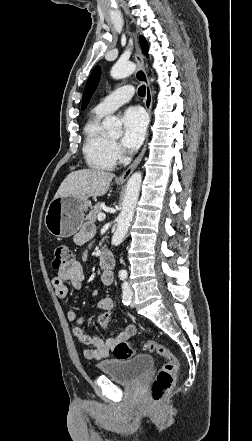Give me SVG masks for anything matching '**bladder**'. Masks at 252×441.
Wrapping results in <instances>:
<instances>
[{"label": "bladder", "instance_id": "bladder-1", "mask_svg": "<svg viewBox=\"0 0 252 441\" xmlns=\"http://www.w3.org/2000/svg\"><path fill=\"white\" fill-rule=\"evenodd\" d=\"M150 355L141 354L123 359H109L97 365L99 371L110 379L124 384L139 381L153 367Z\"/></svg>", "mask_w": 252, "mask_h": 441}]
</instances>
